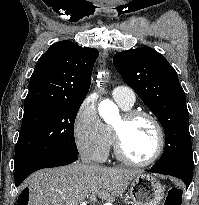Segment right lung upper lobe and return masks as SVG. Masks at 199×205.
<instances>
[{
  "label": "right lung upper lobe",
  "instance_id": "1",
  "mask_svg": "<svg viewBox=\"0 0 199 205\" xmlns=\"http://www.w3.org/2000/svg\"><path fill=\"white\" fill-rule=\"evenodd\" d=\"M98 50L59 41L38 60L30 79L24 111L55 103H79L85 99L91 83Z\"/></svg>",
  "mask_w": 199,
  "mask_h": 205
}]
</instances>
